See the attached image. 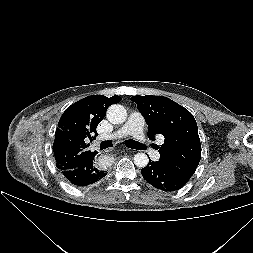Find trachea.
<instances>
[{
    "label": "trachea",
    "instance_id": "3493384b",
    "mask_svg": "<svg viewBox=\"0 0 253 253\" xmlns=\"http://www.w3.org/2000/svg\"><path fill=\"white\" fill-rule=\"evenodd\" d=\"M125 144L128 148H131V149L142 150L144 148V146L141 143H139L138 141L131 140V139L127 140ZM109 147H112L111 141H102L100 144L101 150L109 148Z\"/></svg>",
    "mask_w": 253,
    "mask_h": 253
}]
</instances>
